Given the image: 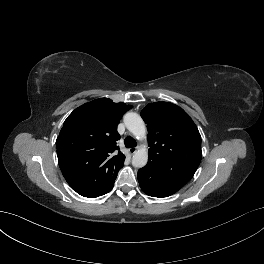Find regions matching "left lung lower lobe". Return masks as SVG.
Masks as SVG:
<instances>
[{
  "label": "left lung lower lobe",
  "mask_w": 264,
  "mask_h": 264,
  "mask_svg": "<svg viewBox=\"0 0 264 264\" xmlns=\"http://www.w3.org/2000/svg\"><path fill=\"white\" fill-rule=\"evenodd\" d=\"M138 181L143 192L159 198L174 194L188 182L181 174L163 172L153 161L138 170Z\"/></svg>",
  "instance_id": "obj_1"
}]
</instances>
